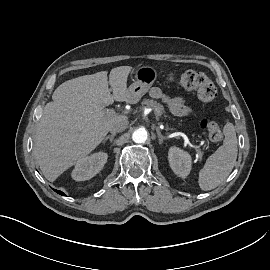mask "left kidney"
<instances>
[{"label": "left kidney", "instance_id": "left-kidney-1", "mask_svg": "<svg viewBox=\"0 0 270 270\" xmlns=\"http://www.w3.org/2000/svg\"><path fill=\"white\" fill-rule=\"evenodd\" d=\"M171 169L178 176L185 178L191 171V156L178 147H171L168 152Z\"/></svg>", "mask_w": 270, "mask_h": 270}]
</instances>
